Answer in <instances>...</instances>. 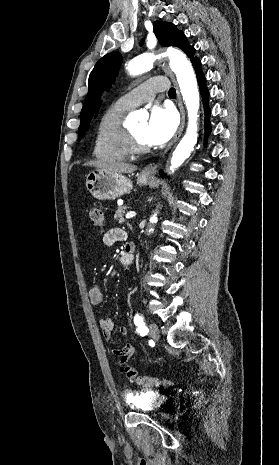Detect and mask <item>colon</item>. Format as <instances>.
I'll use <instances>...</instances> for the list:
<instances>
[{"instance_id": "5ec220e1", "label": "colon", "mask_w": 279, "mask_h": 465, "mask_svg": "<svg viewBox=\"0 0 279 465\" xmlns=\"http://www.w3.org/2000/svg\"><path fill=\"white\" fill-rule=\"evenodd\" d=\"M89 218L91 223L98 228H102L104 224L103 214L100 209L93 207L89 210ZM122 371L126 374L129 380L136 382L138 385L150 387H168L173 385V381L158 377H150L138 375L136 370L131 366L122 367Z\"/></svg>"}]
</instances>
